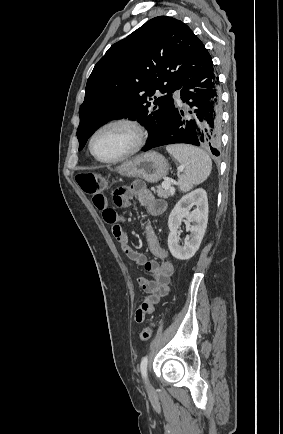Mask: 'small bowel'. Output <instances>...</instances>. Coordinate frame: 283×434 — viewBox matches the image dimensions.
I'll return each instance as SVG.
<instances>
[{
  "instance_id": "c3829d8e",
  "label": "small bowel",
  "mask_w": 283,
  "mask_h": 434,
  "mask_svg": "<svg viewBox=\"0 0 283 434\" xmlns=\"http://www.w3.org/2000/svg\"><path fill=\"white\" fill-rule=\"evenodd\" d=\"M132 198L138 200L139 204L145 209L146 214L150 217L163 214L167 208L166 202L156 199L142 181H135L127 187L119 188L113 194V202L117 207L128 205ZM92 202L102 213L104 221L111 226L113 236L122 252L129 259L143 266L152 277L151 280L146 278H139L138 280L145 294L135 311L134 320L137 323H141L144 321L146 315L154 310V306L159 300L168 294L170 277L174 271L173 264L167 260L168 253L160 246L158 238L149 224L146 226V238L149 250L157 260H147L143 254L132 248L123 228L124 219L109 206L108 200L102 192L93 195Z\"/></svg>"
}]
</instances>
